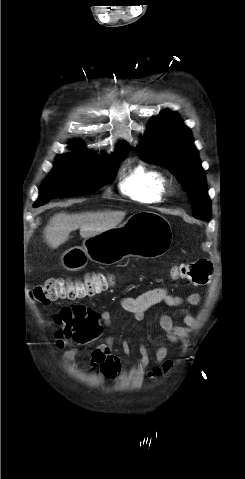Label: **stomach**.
<instances>
[{
	"label": "stomach",
	"mask_w": 245,
	"mask_h": 479,
	"mask_svg": "<svg viewBox=\"0 0 245 479\" xmlns=\"http://www.w3.org/2000/svg\"><path fill=\"white\" fill-rule=\"evenodd\" d=\"M172 242L169 221L153 211L131 215L122 225L84 240L82 246L67 250L61 257L64 268L76 271L88 260L110 266L127 257L154 259L162 256Z\"/></svg>",
	"instance_id": "obj_1"
}]
</instances>
